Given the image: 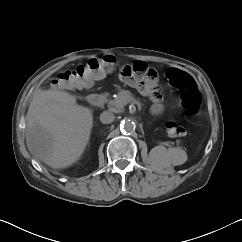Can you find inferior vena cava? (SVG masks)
<instances>
[{"mask_svg":"<svg viewBox=\"0 0 242 242\" xmlns=\"http://www.w3.org/2000/svg\"><path fill=\"white\" fill-rule=\"evenodd\" d=\"M114 119H115L114 114L112 112H109V111H104L100 115V121L103 124H109V123L113 122Z\"/></svg>","mask_w":242,"mask_h":242,"instance_id":"602c4592","label":"inferior vena cava"}]
</instances>
